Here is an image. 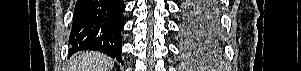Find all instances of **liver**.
<instances>
[{
  "instance_id": "liver-1",
  "label": "liver",
  "mask_w": 301,
  "mask_h": 71,
  "mask_svg": "<svg viewBox=\"0 0 301 71\" xmlns=\"http://www.w3.org/2000/svg\"><path fill=\"white\" fill-rule=\"evenodd\" d=\"M71 63L72 71H111L114 66L110 57L94 51L78 53Z\"/></svg>"
}]
</instances>
